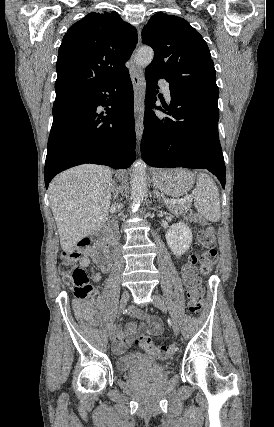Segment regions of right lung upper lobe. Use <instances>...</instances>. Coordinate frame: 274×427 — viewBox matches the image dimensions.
Listing matches in <instances>:
<instances>
[{
	"instance_id": "cb5924a9",
	"label": "right lung upper lobe",
	"mask_w": 274,
	"mask_h": 427,
	"mask_svg": "<svg viewBox=\"0 0 274 427\" xmlns=\"http://www.w3.org/2000/svg\"><path fill=\"white\" fill-rule=\"evenodd\" d=\"M137 43V31L117 12H92L63 37L56 63V99L62 103L118 81Z\"/></svg>"
}]
</instances>
